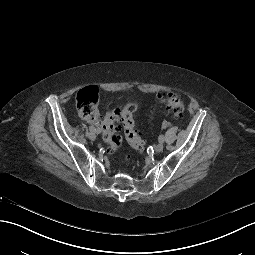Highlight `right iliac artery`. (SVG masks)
I'll use <instances>...</instances> for the list:
<instances>
[{"label": "right iliac artery", "mask_w": 255, "mask_h": 255, "mask_svg": "<svg viewBox=\"0 0 255 255\" xmlns=\"http://www.w3.org/2000/svg\"><path fill=\"white\" fill-rule=\"evenodd\" d=\"M90 131L96 132V128L94 126H89Z\"/></svg>", "instance_id": "obj_1"}]
</instances>
